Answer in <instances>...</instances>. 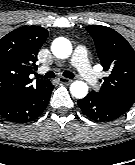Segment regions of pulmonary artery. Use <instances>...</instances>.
<instances>
[{"instance_id":"pulmonary-artery-1","label":"pulmonary artery","mask_w":135,"mask_h":165,"mask_svg":"<svg viewBox=\"0 0 135 165\" xmlns=\"http://www.w3.org/2000/svg\"><path fill=\"white\" fill-rule=\"evenodd\" d=\"M72 66H74L83 80L91 86L96 85L97 78L90 67L87 50L84 46H77L74 50V53L69 62Z\"/></svg>"}]
</instances>
